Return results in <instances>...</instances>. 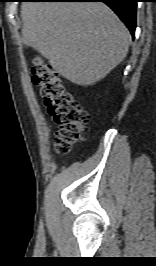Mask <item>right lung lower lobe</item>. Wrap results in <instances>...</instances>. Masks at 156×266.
<instances>
[{"label": "right lung lower lobe", "instance_id": "right-lung-lower-lobe-1", "mask_svg": "<svg viewBox=\"0 0 156 266\" xmlns=\"http://www.w3.org/2000/svg\"><path fill=\"white\" fill-rule=\"evenodd\" d=\"M48 2H104L126 24L134 38L136 28L137 0H34Z\"/></svg>", "mask_w": 156, "mask_h": 266}]
</instances>
